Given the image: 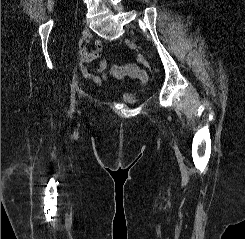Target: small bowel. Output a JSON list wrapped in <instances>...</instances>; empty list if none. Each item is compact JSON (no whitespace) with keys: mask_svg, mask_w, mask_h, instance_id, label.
<instances>
[{"mask_svg":"<svg viewBox=\"0 0 245 239\" xmlns=\"http://www.w3.org/2000/svg\"><path fill=\"white\" fill-rule=\"evenodd\" d=\"M102 51V43L101 41H97L93 49L82 52L79 58L80 69L83 76L98 86L103 85L109 78V73L107 72V61L105 59H101L98 65L94 68H90L89 65L101 58Z\"/></svg>","mask_w":245,"mask_h":239,"instance_id":"1","label":"small bowel"}]
</instances>
